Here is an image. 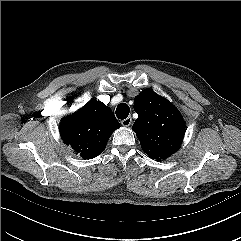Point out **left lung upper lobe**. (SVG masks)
Listing matches in <instances>:
<instances>
[{
  "label": "left lung upper lobe",
  "mask_w": 241,
  "mask_h": 241,
  "mask_svg": "<svg viewBox=\"0 0 241 241\" xmlns=\"http://www.w3.org/2000/svg\"><path fill=\"white\" fill-rule=\"evenodd\" d=\"M138 118L132 129L143 151L152 159H166L177 151L183 141L185 126L178 109L152 90L135 97Z\"/></svg>",
  "instance_id": "obj_1"
}]
</instances>
